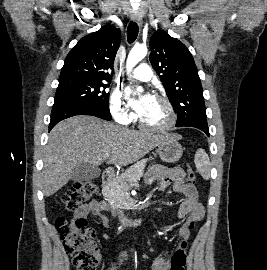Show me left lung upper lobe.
Here are the masks:
<instances>
[{
  "label": "left lung upper lobe",
  "mask_w": 267,
  "mask_h": 270,
  "mask_svg": "<svg viewBox=\"0 0 267 270\" xmlns=\"http://www.w3.org/2000/svg\"><path fill=\"white\" fill-rule=\"evenodd\" d=\"M150 49V62L178 115L176 126L191 122L207 124L202 85L188 48L158 30L150 39Z\"/></svg>",
  "instance_id": "1"
}]
</instances>
